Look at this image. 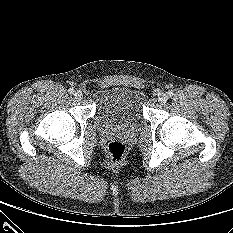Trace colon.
<instances>
[{
  "label": "colon",
  "instance_id": "colon-1",
  "mask_svg": "<svg viewBox=\"0 0 233 233\" xmlns=\"http://www.w3.org/2000/svg\"><path fill=\"white\" fill-rule=\"evenodd\" d=\"M106 154L110 164L118 165L125 158L126 147L119 141H111L106 146Z\"/></svg>",
  "mask_w": 233,
  "mask_h": 233
}]
</instances>
